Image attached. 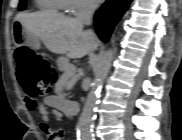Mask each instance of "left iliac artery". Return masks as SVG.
Here are the masks:
<instances>
[{
    "label": "left iliac artery",
    "instance_id": "left-iliac-artery-1",
    "mask_svg": "<svg viewBox=\"0 0 182 140\" xmlns=\"http://www.w3.org/2000/svg\"><path fill=\"white\" fill-rule=\"evenodd\" d=\"M90 139H91V140H95V137H94V136H92Z\"/></svg>",
    "mask_w": 182,
    "mask_h": 140
}]
</instances>
